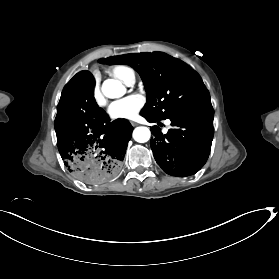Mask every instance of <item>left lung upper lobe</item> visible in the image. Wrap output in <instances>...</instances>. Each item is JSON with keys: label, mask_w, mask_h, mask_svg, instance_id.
<instances>
[{"label": "left lung upper lobe", "mask_w": 279, "mask_h": 279, "mask_svg": "<svg viewBox=\"0 0 279 279\" xmlns=\"http://www.w3.org/2000/svg\"><path fill=\"white\" fill-rule=\"evenodd\" d=\"M98 62L128 64L140 74L147 93V102L140 114L156 121L211 105L201 77L186 63L165 53L125 54Z\"/></svg>", "instance_id": "left-lung-upper-lobe-1"}]
</instances>
